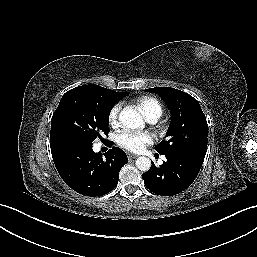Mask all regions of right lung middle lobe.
Returning <instances> with one entry per match:
<instances>
[{
    "label": "right lung middle lobe",
    "mask_w": 257,
    "mask_h": 257,
    "mask_svg": "<svg viewBox=\"0 0 257 257\" xmlns=\"http://www.w3.org/2000/svg\"><path fill=\"white\" fill-rule=\"evenodd\" d=\"M120 96L88 84L67 91L51 119L50 143L65 139L93 142L109 132V114Z\"/></svg>",
    "instance_id": "dd1d6c3e"
}]
</instances>
